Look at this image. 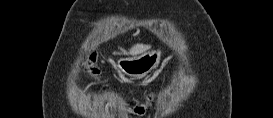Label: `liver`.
Segmentation results:
<instances>
[{"label":"liver","mask_w":273,"mask_h":118,"mask_svg":"<svg viewBox=\"0 0 273 118\" xmlns=\"http://www.w3.org/2000/svg\"><path fill=\"white\" fill-rule=\"evenodd\" d=\"M150 48H151L150 45L135 44L134 46L131 47V49L129 50L128 54H130L132 56H137L139 54L145 53ZM125 53H127V52H124V54ZM115 54H117V53H115Z\"/></svg>","instance_id":"obj_1"}]
</instances>
